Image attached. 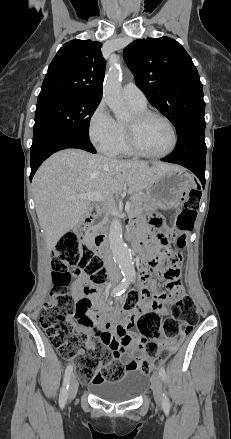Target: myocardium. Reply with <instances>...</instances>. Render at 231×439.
I'll use <instances>...</instances> for the list:
<instances>
[{
  "instance_id": "1",
  "label": "myocardium",
  "mask_w": 231,
  "mask_h": 439,
  "mask_svg": "<svg viewBox=\"0 0 231 439\" xmlns=\"http://www.w3.org/2000/svg\"><path fill=\"white\" fill-rule=\"evenodd\" d=\"M150 117H158L162 120H164L167 125L169 126L171 133H172V144L171 147L160 154H151L146 152L140 145L138 140V129L140 125L147 120ZM126 134H127V143L128 147L131 150V152L137 156L148 158V159H161L169 156L172 154L177 145H178V133L176 130V127L172 120L166 116L165 114L154 111V110H143L139 112H135L133 115V119L126 124Z\"/></svg>"
}]
</instances>
